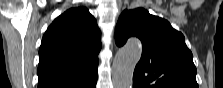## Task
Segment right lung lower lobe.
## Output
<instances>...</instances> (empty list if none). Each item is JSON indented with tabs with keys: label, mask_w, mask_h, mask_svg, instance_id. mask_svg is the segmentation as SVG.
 Listing matches in <instances>:
<instances>
[{
	"label": "right lung lower lobe",
	"mask_w": 223,
	"mask_h": 88,
	"mask_svg": "<svg viewBox=\"0 0 223 88\" xmlns=\"http://www.w3.org/2000/svg\"><path fill=\"white\" fill-rule=\"evenodd\" d=\"M96 81L89 88H95L96 87Z\"/></svg>",
	"instance_id": "obj_1"
}]
</instances>
